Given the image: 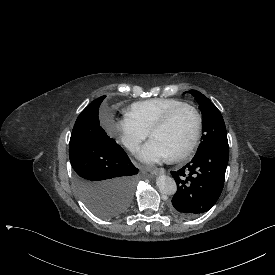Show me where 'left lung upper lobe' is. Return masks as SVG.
<instances>
[{"instance_id":"1","label":"left lung upper lobe","mask_w":275,"mask_h":275,"mask_svg":"<svg viewBox=\"0 0 275 275\" xmlns=\"http://www.w3.org/2000/svg\"><path fill=\"white\" fill-rule=\"evenodd\" d=\"M189 93L196 98L204 118L203 127L205 135H203V142H201L196 154L213 146H228L226 127L220 111L200 92L190 90Z\"/></svg>"}]
</instances>
